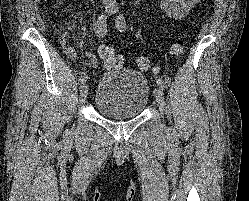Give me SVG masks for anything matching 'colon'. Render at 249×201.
<instances>
[{
	"label": "colon",
	"instance_id": "colon-1",
	"mask_svg": "<svg viewBox=\"0 0 249 201\" xmlns=\"http://www.w3.org/2000/svg\"><path fill=\"white\" fill-rule=\"evenodd\" d=\"M184 47L181 40L176 41L170 48V54L173 56H179L183 53ZM100 56L104 61V65L107 68H114L121 66L123 59L116 54L110 47H103L100 49ZM137 65L141 69H148L150 67L149 60L145 56H139L136 60Z\"/></svg>",
	"mask_w": 249,
	"mask_h": 201
}]
</instances>
